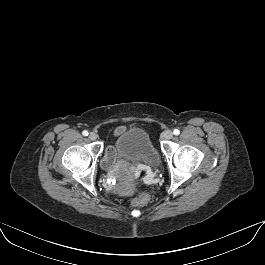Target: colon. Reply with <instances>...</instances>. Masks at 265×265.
I'll return each instance as SVG.
<instances>
[{"instance_id": "1", "label": "colon", "mask_w": 265, "mask_h": 265, "mask_svg": "<svg viewBox=\"0 0 265 265\" xmlns=\"http://www.w3.org/2000/svg\"><path fill=\"white\" fill-rule=\"evenodd\" d=\"M148 202V196L145 194H139L132 200V205L135 207H142Z\"/></svg>"}]
</instances>
